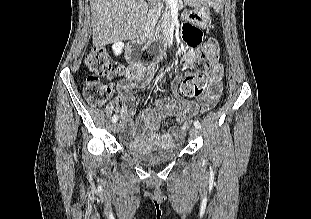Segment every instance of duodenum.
Wrapping results in <instances>:
<instances>
[{
	"mask_svg": "<svg viewBox=\"0 0 311 219\" xmlns=\"http://www.w3.org/2000/svg\"><path fill=\"white\" fill-rule=\"evenodd\" d=\"M153 41H156L157 48L150 51L149 47ZM167 45L168 37H157L154 30L145 28L138 37L130 43L129 52L127 54L128 60L133 64H137L140 62L143 50H146L147 54L150 55L155 51L164 49Z\"/></svg>",
	"mask_w": 311,
	"mask_h": 219,
	"instance_id": "410a0bca",
	"label": "duodenum"
}]
</instances>
